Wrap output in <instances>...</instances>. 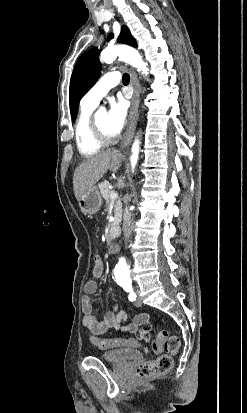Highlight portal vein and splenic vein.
Masks as SVG:
<instances>
[{"label":"portal vein and splenic vein","instance_id":"1","mask_svg":"<svg viewBox=\"0 0 247 413\" xmlns=\"http://www.w3.org/2000/svg\"><path fill=\"white\" fill-rule=\"evenodd\" d=\"M109 196L110 198H117L118 192H115V190H110Z\"/></svg>","mask_w":247,"mask_h":413}]
</instances>
